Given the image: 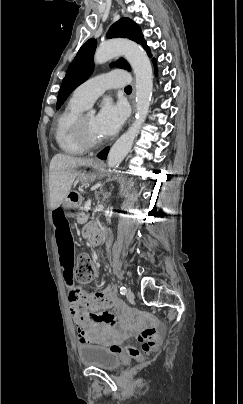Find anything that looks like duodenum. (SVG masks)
I'll return each mask as SVG.
<instances>
[{"instance_id":"obj_1","label":"duodenum","mask_w":243,"mask_h":404,"mask_svg":"<svg viewBox=\"0 0 243 404\" xmlns=\"http://www.w3.org/2000/svg\"><path fill=\"white\" fill-rule=\"evenodd\" d=\"M78 200V194L76 192H69L65 202L68 206L74 205ZM102 241V234L97 229H92L90 233V243L92 246H97Z\"/></svg>"}]
</instances>
